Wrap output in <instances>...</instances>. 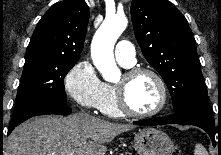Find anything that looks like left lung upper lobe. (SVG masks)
Listing matches in <instances>:
<instances>
[{"label":"left lung upper lobe","instance_id":"1","mask_svg":"<svg viewBox=\"0 0 221 155\" xmlns=\"http://www.w3.org/2000/svg\"><path fill=\"white\" fill-rule=\"evenodd\" d=\"M134 33L147 61L168 86L176 110L208 96L186 18L168 0H132Z\"/></svg>","mask_w":221,"mask_h":155}]
</instances>
